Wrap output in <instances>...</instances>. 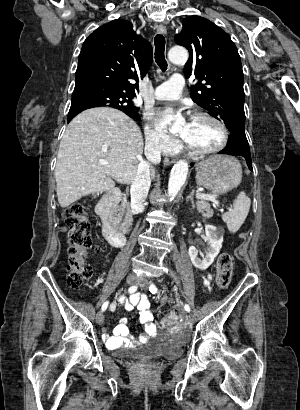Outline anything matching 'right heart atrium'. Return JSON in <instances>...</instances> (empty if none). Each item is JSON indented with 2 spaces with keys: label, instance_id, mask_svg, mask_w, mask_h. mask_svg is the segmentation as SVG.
<instances>
[{
  "label": "right heart atrium",
  "instance_id": "1",
  "mask_svg": "<svg viewBox=\"0 0 300 410\" xmlns=\"http://www.w3.org/2000/svg\"><path fill=\"white\" fill-rule=\"evenodd\" d=\"M145 147L150 154H169L178 148V141L151 122L144 127Z\"/></svg>",
  "mask_w": 300,
  "mask_h": 410
}]
</instances>
